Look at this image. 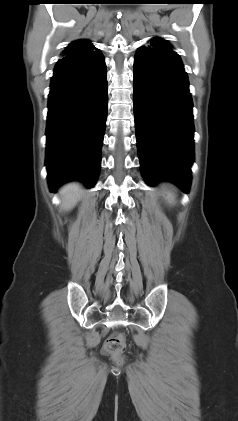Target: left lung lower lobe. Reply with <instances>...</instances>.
I'll use <instances>...</instances> for the list:
<instances>
[{
    "label": "left lung lower lobe",
    "mask_w": 238,
    "mask_h": 421,
    "mask_svg": "<svg viewBox=\"0 0 238 421\" xmlns=\"http://www.w3.org/2000/svg\"><path fill=\"white\" fill-rule=\"evenodd\" d=\"M133 82L142 175L149 185L170 181L187 193L194 160L193 104L179 55L171 47H140Z\"/></svg>",
    "instance_id": "left-lung-lower-lobe-1"
}]
</instances>
